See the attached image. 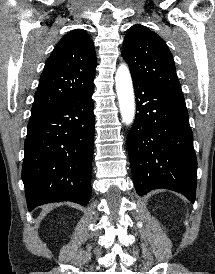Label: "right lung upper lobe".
I'll use <instances>...</instances> for the list:
<instances>
[{
	"mask_svg": "<svg viewBox=\"0 0 215 274\" xmlns=\"http://www.w3.org/2000/svg\"><path fill=\"white\" fill-rule=\"evenodd\" d=\"M96 54L83 29H75L59 41L40 77L31 115H39L93 86Z\"/></svg>",
	"mask_w": 215,
	"mask_h": 274,
	"instance_id": "right-lung-upper-lobe-1",
	"label": "right lung upper lobe"
}]
</instances>
